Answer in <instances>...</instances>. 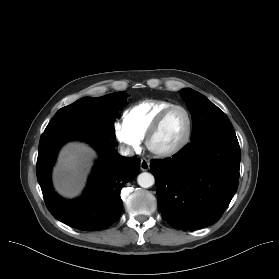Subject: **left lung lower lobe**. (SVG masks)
<instances>
[{"instance_id": "1", "label": "left lung lower lobe", "mask_w": 279, "mask_h": 279, "mask_svg": "<svg viewBox=\"0 0 279 279\" xmlns=\"http://www.w3.org/2000/svg\"><path fill=\"white\" fill-rule=\"evenodd\" d=\"M240 158L235 132L216 131L192 139L173 159L152 160L163 218L181 230L217 222L237 190Z\"/></svg>"}]
</instances>
